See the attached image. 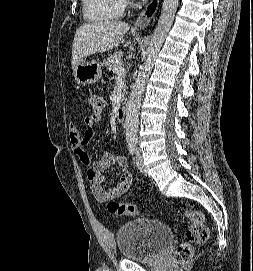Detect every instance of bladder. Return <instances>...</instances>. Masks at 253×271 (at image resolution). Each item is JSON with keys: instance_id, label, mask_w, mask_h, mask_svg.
Segmentation results:
<instances>
[{"instance_id": "1", "label": "bladder", "mask_w": 253, "mask_h": 271, "mask_svg": "<svg viewBox=\"0 0 253 271\" xmlns=\"http://www.w3.org/2000/svg\"><path fill=\"white\" fill-rule=\"evenodd\" d=\"M173 239V231L164 222L151 218L131 220L116 231L120 255L137 262L154 261Z\"/></svg>"}]
</instances>
